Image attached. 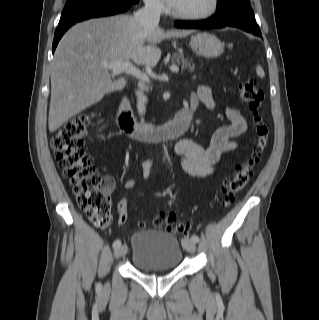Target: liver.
Masks as SVG:
<instances>
[{
  "instance_id": "1",
  "label": "liver",
  "mask_w": 319,
  "mask_h": 320,
  "mask_svg": "<svg viewBox=\"0 0 319 320\" xmlns=\"http://www.w3.org/2000/svg\"><path fill=\"white\" fill-rule=\"evenodd\" d=\"M191 33L159 27L145 29L130 15L90 19L70 28L60 40L52 62L49 131L53 133L105 95L126 86L125 78L113 81L103 63L132 60L137 65L154 67L161 58L157 43Z\"/></svg>"
}]
</instances>
